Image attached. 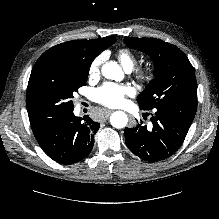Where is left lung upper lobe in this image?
Listing matches in <instances>:
<instances>
[{"label": "left lung upper lobe", "instance_id": "left-lung-upper-lobe-1", "mask_svg": "<svg viewBox=\"0 0 219 219\" xmlns=\"http://www.w3.org/2000/svg\"><path fill=\"white\" fill-rule=\"evenodd\" d=\"M124 41L129 47L147 53L155 66V79L137 97L141 109L151 110L188 100L197 101L194 68L178 47L152 38L126 37Z\"/></svg>", "mask_w": 219, "mask_h": 219}]
</instances>
